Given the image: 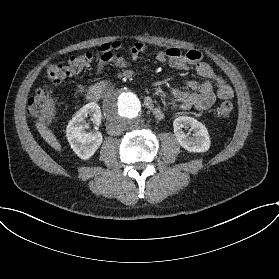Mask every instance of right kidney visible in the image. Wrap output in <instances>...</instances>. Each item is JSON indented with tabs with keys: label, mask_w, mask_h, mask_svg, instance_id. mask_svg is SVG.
<instances>
[{
	"label": "right kidney",
	"mask_w": 279,
	"mask_h": 279,
	"mask_svg": "<svg viewBox=\"0 0 279 279\" xmlns=\"http://www.w3.org/2000/svg\"><path fill=\"white\" fill-rule=\"evenodd\" d=\"M90 116L93 124H101L102 114L99 105L90 102L76 112L66 128L67 140L73 151L83 160L89 159L102 144L103 137L99 131L87 132L85 119Z\"/></svg>",
	"instance_id": "obj_1"
}]
</instances>
